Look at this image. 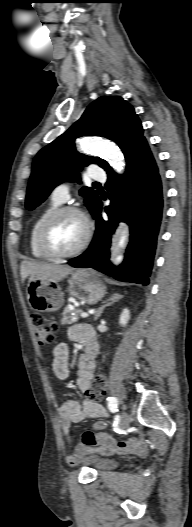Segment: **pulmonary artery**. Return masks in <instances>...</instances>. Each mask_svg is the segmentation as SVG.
Instances as JSON below:
<instances>
[{"label":"pulmonary artery","instance_id":"obj_1","mask_svg":"<svg viewBox=\"0 0 192 527\" xmlns=\"http://www.w3.org/2000/svg\"><path fill=\"white\" fill-rule=\"evenodd\" d=\"M88 175L91 179L96 181H104L106 179L105 172L96 166L89 168ZM51 197L53 200L60 203L67 201L70 197V185L68 183L59 184L53 189Z\"/></svg>","mask_w":192,"mask_h":527}]
</instances>
